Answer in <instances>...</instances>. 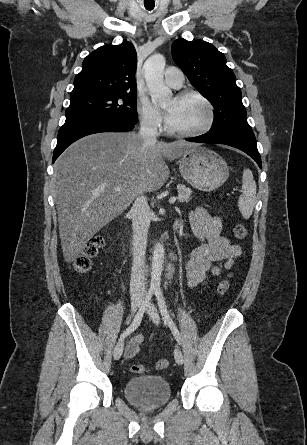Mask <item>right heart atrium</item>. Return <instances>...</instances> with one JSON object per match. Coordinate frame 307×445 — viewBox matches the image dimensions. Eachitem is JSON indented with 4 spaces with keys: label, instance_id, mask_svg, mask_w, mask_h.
<instances>
[{
    "label": "right heart atrium",
    "instance_id": "right-heart-atrium-1",
    "mask_svg": "<svg viewBox=\"0 0 307 445\" xmlns=\"http://www.w3.org/2000/svg\"><path fill=\"white\" fill-rule=\"evenodd\" d=\"M137 111L141 125L147 132L154 134L161 131L163 126L162 115L146 98L142 97L138 100Z\"/></svg>",
    "mask_w": 307,
    "mask_h": 445
}]
</instances>
